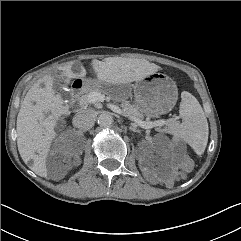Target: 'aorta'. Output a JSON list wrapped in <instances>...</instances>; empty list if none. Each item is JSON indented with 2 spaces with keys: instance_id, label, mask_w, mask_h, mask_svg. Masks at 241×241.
<instances>
[{
  "instance_id": "762f6f07",
  "label": "aorta",
  "mask_w": 241,
  "mask_h": 241,
  "mask_svg": "<svg viewBox=\"0 0 241 241\" xmlns=\"http://www.w3.org/2000/svg\"><path fill=\"white\" fill-rule=\"evenodd\" d=\"M98 124L101 127H110L113 124V117L110 113L108 112H103L98 116Z\"/></svg>"
}]
</instances>
